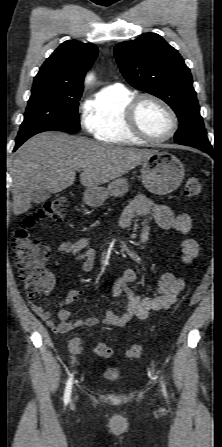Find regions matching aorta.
<instances>
[{"instance_id":"obj_1","label":"aorta","mask_w":222,"mask_h":447,"mask_svg":"<svg viewBox=\"0 0 222 447\" xmlns=\"http://www.w3.org/2000/svg\"><path fill=\"white\" fill-rule=\"evenodd\" d=\"M93 78H94V77H93L92 74L88 75V76H87V82H88V83L92 82Z\"/></svg>"}]
</instances>
